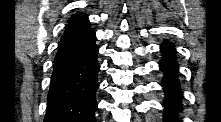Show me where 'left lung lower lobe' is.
I'll return each mask as SVG.
<instances>
[{"label":"left lung lower lobe","mask_w":221,"mask_h":122,"mask_svg":"<svg viewBox=\"0 0 221 122\" xmlns=\"http://www.w3.org/2000/svg\"><path fill=\"white\" fill-rule=\"evenodd\" d=\"M163 59L160 61L161 70L164 72L163 89L166 93L165 98V122H172L176 114L182 110L180 85L175 77L178 70L177 62L173 58L174 46L169 42H164L161 45Z\"/></svg>","instance_id":"0a47b994"}]
</instances>
